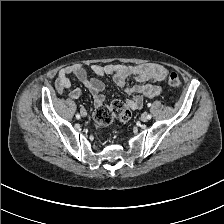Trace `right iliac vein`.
<instances>
[{"instance_id": "1", "label": "right iliac vein", "mask_w": 224, "mask_h": 224, "mask_svg": "<svg viewBox=\"0 0 224 224\" xmlns=\"http://www.w3.org/2000/svg\"><path fill=\"white\" fill-rule=\"evenodd\" d=\"M81 115H82L83 117H85V116L87 115V112H86L84 109H82V110H81Z\"/></svg>"}]
</instances>
